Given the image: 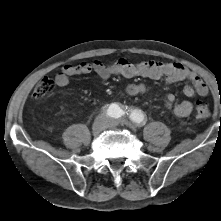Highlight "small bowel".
I'll list each match as a JSON object with an SVG mask.
<instances>
[{"label":"small bowel","instance_id":"1","mask_svg":"<svg viewBox=\"0 0 221 221\" xmlns=\"http://www.w3.org/2000/svg\"><path fill=\"white\" fill-rule=\"evenodd\" d=\"M91 73L96 74L102 80L119 75L127 78L141 76L153 80L163 79L167 83L188 81L190 84L182 90L183 94L188 98L206 96L209 93L208 87L202 78L179 63H164L152 60L132 62L124 57L108 63L95 60L79 64H67L56 74L55 82L59 87H66L69 85L71 77ZM146 90L147 87L144 84L132 83L125 87L124 92L129 97H135ZM165 106L173 111L176 116L182 118L189 116L193 111V103L191 101L184 100L176 103L173 93L166 94Z\"/></svg>","mask_w":221,"mask_h":221}]
</instances>
